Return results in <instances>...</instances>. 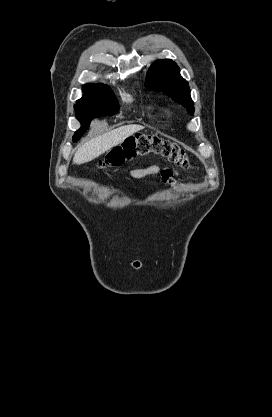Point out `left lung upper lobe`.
<instances>
[{"mask_svg": "<svg viewBox=\"0 0 272 417\" xmlns=\"http://www.w3.org/2000/svg\"><path fill=\"white\" fill-rule=\"evenodd\" d=\"M145 86L156 92L162 91L169 95L193 115L194 103L190 97L188 83L181 77L179 67L172 60L155 61L148 70Z\"/></svg>", "mask_w": 272, "mask_h": 417, "instance_id": "obj_1", "label": "left lung upper lobe"}]
</instances>
